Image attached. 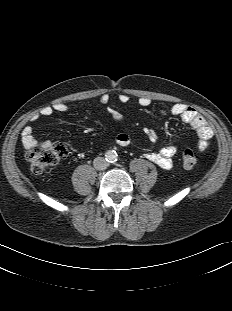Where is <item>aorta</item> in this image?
Returning a JSON list of instances; mask_svg holds the SVG:
<instances>
[{
	"instance_id": "aorta-1",
	"label": "aorta",
	"mask_w": 232,
	"mask_h": 311,
	"mask_svg": "<svg viewBox=\"0 0 232 311\" xmlns=\"http://www.w3.org/2000/svg\"><path fill=\"white\" fill-rule=\"evenodd\" d=\"M105 158H106V160H107L108 162L114 163V162H116L117 159H118V154H117L116 151H114V150H109V151L106 152Z\"/></svg>"
}]
</instances>
